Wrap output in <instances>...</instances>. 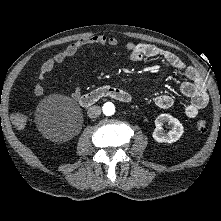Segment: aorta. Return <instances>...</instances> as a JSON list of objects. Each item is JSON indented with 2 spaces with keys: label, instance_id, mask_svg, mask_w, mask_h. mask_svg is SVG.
I'll use <instances>...</instances> for the list:
<instances>
[{
  "label": "aorta",
  "instance_id": "obj_1",
  "mask_svg": "<svg viewBox=\"0 0 221 221\" xmlns=\"http://www.w3.org/2000/svg\"><path fill=\"white\" fill-rule=\"evenodd\" d=\"M104 113L106 115H113L115 113V107L112 103H106L104 106Z\"/></svg>",
  "mask_w": 221,
  "mask_h": 221
}]
</instances>
